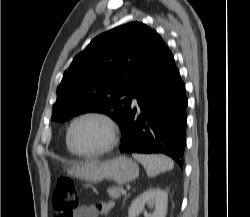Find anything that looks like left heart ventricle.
I'll return each mask as SVG.
<instances>
[{"instance_id": "obj_1", "label": "left heart ventricle", "mask_w": 250, "mask_h": 217, "mask_svg": "<svg viewBox=\"0 0 250 217\" xmlns=\"http://www.w3.org/2000/svg\"><path fill=\"white\" fill-rule=\"evenodd\" d=\"M107 136V128L103 122L86 118L74 126L71 140L77 150L91 152L101 148L106 143Z\"/></svg>"}]
</instances>
